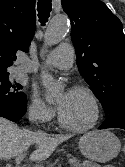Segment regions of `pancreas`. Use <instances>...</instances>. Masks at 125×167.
<instances>
[{
	"mask_svg": "<svg viewBox=\"0 0 125 167\" xmlns=\"http://www.w3.org/2000/svg\"><path fill=\"white\" fill-rule=\"evenodd\" d=\"M71 160H73V162L71 163L72 167H81L80 161L77 158L73 157ZM105 167H112V166H105Z\"/></svg>",
	"mask_w": 125,
	"mask_h": 167,
	"instance_id": "1",
	"label": "pancreas"
}]
</instances>
